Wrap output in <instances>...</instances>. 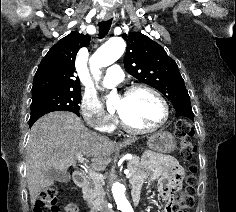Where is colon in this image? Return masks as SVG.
Returning a JSON list of instances; mask_svg holds the SVG:
<instances>
[{
	"instance_id": "1",
	"label": "colon",
	"mask_w": 236,
	"mask_h": 212,
	"mask_svg": "<svg viewBox=\"0 0 236 212\" xmlns=\"http://www.w3.org/2000/svg\"><path fill=\"white\" fill-rule=\"evenodd\" d=\"M192 132V126L187 120H177L175 135L181 140L180 154L185 159H191L196 152L194 144L189 140ZM196 185V167L192 165L188 169L185 187L177 192L176 203L173 204V212H186L194 206ZM35 212H61L58 206V192L55 188H45L39 193Z\"/></svg>"
}]
</instances>
